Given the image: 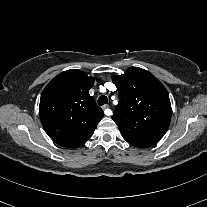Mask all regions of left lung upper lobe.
<instances>
[{"instance_id":"left-lung-upper-lobe-1","label":"left lung upper lobe","mask_w":207,"mask_h":207,"mask_svg":"<svg viewBox=\"0 0 207 207\" xmlns=\"http://www.w3.org/2000/svg\"><path fill=\"white\" fill-rule=\"evenodd\" d=\"M119 103L112 119L123 138L136 147H149L166 133L171 120V103L163 84L150 72L130 67L113 76Z\"/></svg>"}]
</instances>
